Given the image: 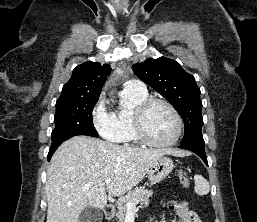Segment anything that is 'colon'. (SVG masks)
<instances>
[{
    "mask_svg": "<svg viewBox=\"0 0 257 222\" xmlns=\"http://www.w3.org/2000/svg\"><path fill=\"white\" fill-rule=\"evenodd\" d=\"M179 181L183 187H188L189 178L185 172H183V171L179 172Z\"/></svg>",
    "mask_w": 257,
    "mask_h": 222,
    "instance_id": "1",
    "label": "colon"
}]
</instances>
